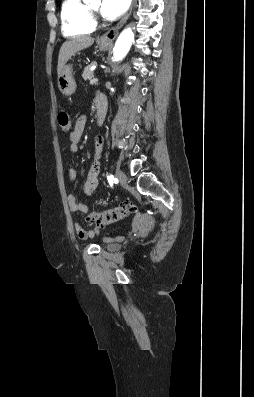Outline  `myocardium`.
<instances>
[{
    "mask_svg": "<svg viewBox=\"0 0 254 397\" xmlns=\"http://www.w3.org/2000/svg\"><path fill=\"white\" fill-rule=\"evenodd\" d=\"M88 10H89V14H90L92 22H94L96 20V11L92 8H88Z\"/></svg>",
    "mask_w": 254,
    "mask_h": 397,
    "instance_id": "obj_1",
    "label": "myocardium"
}]
</instances>
